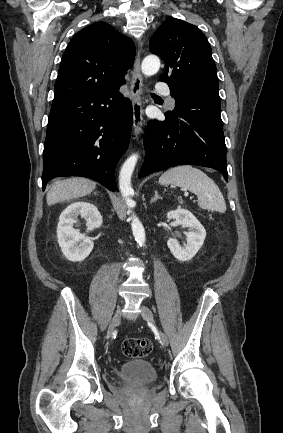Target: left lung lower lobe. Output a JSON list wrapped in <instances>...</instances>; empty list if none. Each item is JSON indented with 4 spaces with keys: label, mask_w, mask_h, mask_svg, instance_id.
Listing matches in <instances>:
<instances>
[{
    "label": "left lung lower lobe",
    "mask_w": 283,
    "mask_h": 433,
    "mask_svg": "<svg viewBox=\"0 0 283 433\" xmlns=\"http://www.w3.org/2000/svg\"><path fill=\"white\" fill-rule=\"evenodd\" d=\"M165 121L149 122L144 135L145 162L142 178L181 164L211 167L227 181L226 145L223 128L191 116L166 113Z\"/></svg>",
    "instance_id": "left-lung-lower-lobe-1"
}]
</instances>
